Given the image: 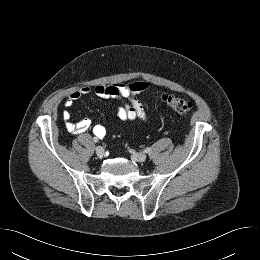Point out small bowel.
Returning <instances> with one entry per match:
<instances>
[{"label": "small bowel", "instance_id": "small-bowel-1", "mask_svg": "<svg viewBox=\"0 0 260 260\" xmlns=\"http://www.w3.org/2000/svg\"><path fill=\"white\" fill-rule=\"evenodd\" d=\"M149 84L144 81H136L130 84L125 83H111L106 85H97L93 89L89 86H83L77 90L72 91L65 99L64 105L66 108L72 107L74 102L79 100L82 96L94 93L100 98H111L120 101H127L123 106L117 109L116 117L121 121L142 120L148 119V104L146 101L140 102L137 96L148 90ZM62 117L65 122L67 130L72 134H83L92 129L95 138H104L108 130L101 124H92L90 120H81L77 123L71 121V114L68 110L62 112Z\"/></svg>", "mask_w": 260, "mask_h": 260}]
</instances>
